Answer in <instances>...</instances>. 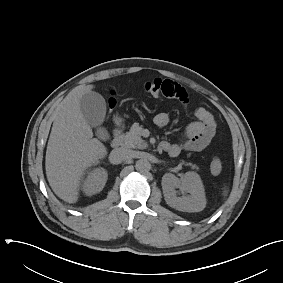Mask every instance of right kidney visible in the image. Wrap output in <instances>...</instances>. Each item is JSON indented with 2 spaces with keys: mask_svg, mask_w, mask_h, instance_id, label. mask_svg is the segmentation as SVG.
<instances>
[{
  "mask_svg": "<svg viewBox=\"0 0 283 283\" xmlns=\"http://www.w3.org/2000/svg\"><path fill=\"white\" fill-rule=\"evenodd\" d=\"M108 178L107 171L96 168L88 173L83 183V191L87 196L99 193L105 186Z\"/></svg>",
  "mask_w": 283,
  "mask_h": 283,
  "instance_id": "1",
  "label": "right kidney"
}]
</instances>
